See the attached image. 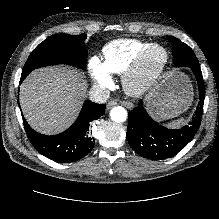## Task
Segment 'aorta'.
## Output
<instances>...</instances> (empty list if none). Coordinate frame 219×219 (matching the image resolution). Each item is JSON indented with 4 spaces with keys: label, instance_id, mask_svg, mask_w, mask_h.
Returning a JSON list of instances; mask_svg holds the SVG:
<instances>
[{
    "label": "aorta",
    "instance_id": "1",
    "mask_svg": "<svg viewBox=\"0 0 219 219\" xmlns=\"http://www.w3.org/2000/svg\"><path fill=\"white\" fill-rule=\"evenodd\" d=\"M110 117L116 123L124 122L127 119V111L121 106L114 107L110 111Z\"/></svg>",
    "mask_w": 219,
    "mask_h": 219
}]
</instances>
